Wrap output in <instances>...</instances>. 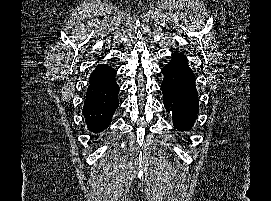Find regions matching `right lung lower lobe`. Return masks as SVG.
<instances>
[{
	"instance_id": "right-lung-lower-lobe-1",
	"label": "right lung lower lobe",
	"mask_w": 271,
	"mask_h": 201,
	"mask_svg": "<svg viewBox=\"0 0 271 201\" xmlns=\"http://www.w3.org/2000/svg\"><path fill=\"white\" fill-rule=\"evenodd\" d=\"M116 72L107 64H100L90 75L83 115L91 132L106 129L119 105Z\"/></svg>"
}]
</instances>
